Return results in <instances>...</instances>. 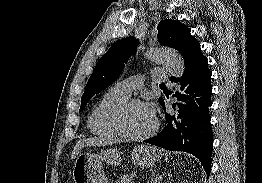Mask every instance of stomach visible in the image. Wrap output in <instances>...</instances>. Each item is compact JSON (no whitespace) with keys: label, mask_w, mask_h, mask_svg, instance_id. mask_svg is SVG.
<instances>
[{"label":"stomach","mask_w":262,"mask_h":183,"mask_svg":"<svg viewBox=\"0 0 262 183\" xmlns=\"http://www.w3.org/2000/svg\"><path fill=\"white\" fill-rule=\"evenodd\" d=\"M132 161L142 168L152 167L161 159V151L154 146L139 145L132 151ZM119 165L122 161L121 152L115 148L102 149L100 153L86 152L80 154L73 166L75 183H108L103 171L102 162Z\"/></svg>","instance_id":"obj_1"}]
</instances>
